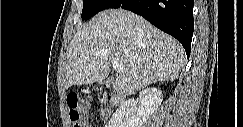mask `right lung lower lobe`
<instances>
[{"label": "right lung lower lobe", "mask_w": 243, "mask_h": 127, "mask_svg": "<svg viewBox=\"0 0 243 127\" xmlns=\"http://www.w3.org/2000/svg\"><path fill=\"white\" fill-rule=\"evenodd\" d=\"M194 0H118L112 8L130 10L181 42L187 57L194 30Z\"/></svg>", "instance_id": "98d812e1"}]
</instances>
